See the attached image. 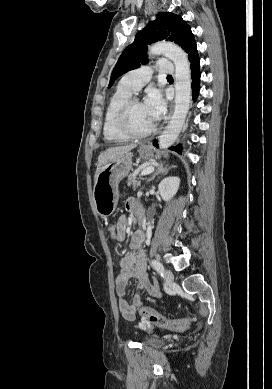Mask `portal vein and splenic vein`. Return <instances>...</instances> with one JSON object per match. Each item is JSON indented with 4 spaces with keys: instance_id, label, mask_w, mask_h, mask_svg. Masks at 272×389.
<instances>
[{
    "instance_id": "obj_1",
    "label": "portal vein and splenic vein",
    "mask_w": 272,
    "mask_h": 389,
    "mask_svg": "<svg viewBox=\"0 0 272 389\" xmlns=\"http://www.w3.org/2000/svg\"><path fill=\"white\" fill-rule=\"evenodd\" d=\"M153 171H154V167L153 166H149L147 168H144L142 170V172H141V176H145V175L151 174Z\"/></svg>"
}]
</instances>
